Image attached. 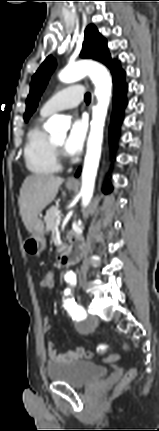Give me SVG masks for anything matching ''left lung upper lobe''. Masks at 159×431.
I'll list each match as a JSON object with an SVG mask.
<instances>
[{
	"instance_id": "5c2ea615",
	"label": "left lung upper lobe",
	"mask_w": 159,
	"mask_h": 431,
	"mask_svg": "<svg viewBox=\"0 0 159 431\" xmlns=\"http://www.w3.org/2000/svg\"><path fill=\"white\" fill-rule=\"evenodd\" d=\"M80 56L82 58H92L103 62L111 69L112 74L120 68L119 63L111 59L107 50L106 40L98 33L94 25H89L86 29L85 41ZM55 67L56 62L54 58L48 56L32 77L30 94L26 101L25 121H27L36 110L40 96Z\"/></svg>"
}]
</instances>
